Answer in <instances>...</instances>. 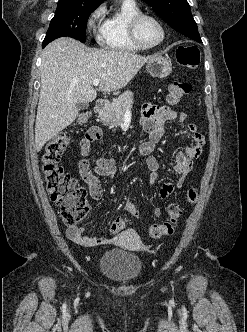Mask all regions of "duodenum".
Masks as SVG:
<instances>
[{"label": "duodenum", "mask_w": 247, "mask_h": 332, "mask_svg": "<svg viewBox=\"0 0 247 332\" xmlns=\"http://www.w3.org/2000/svg\"><path fill=\"white\" fill-rule=\"evenodd\" d=\"M107 106L108 103L105 100H99L94 107V111L97 115L101 116L106 111Z\"/></svg>", "instance_id": "obj_1"}]
</instances>
